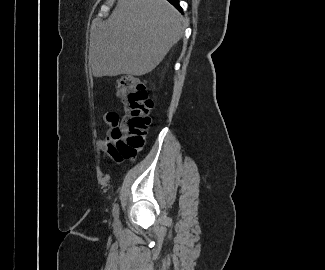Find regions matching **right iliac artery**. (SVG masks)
I'll use <instances>...</instances> for the list:
<instances>
[{
  "instance_id": "obj_1",
  "label": "right iliac artery",
  "mask_w": 325,
  "mask_h": 270,
  "mask_svg": "<svg viewBox=\"0 0 325 270\" xmlns=\"http://www.w3.org/2000/svg\"><path fill=\"white\" fill-rule=\"evenodd\" d=\"M113 216L115 218V220H118L119 217V205L115 204L113 207Z\"/></svg>"
}]
</instances>
